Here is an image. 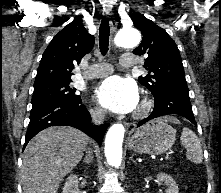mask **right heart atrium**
<instances>
[{"label": "right heart atrium", "instance_id": "obj_1", "mask_svg": "<svg viewBox=\"0 0 221 193\" xmlns=\"http://www.w3.org/2000/svg\"><path fill=\"white\" fill-rule=\"evenodd\" d=\"M90 112L92 114L93 117L97 118V119H100L103 117L104 115V112L101 108L99 107H93L90 109Z\"/></svg>", "mask_w": 221, "mask_h": 193}]
</instances>
